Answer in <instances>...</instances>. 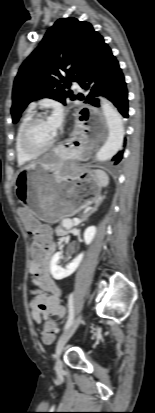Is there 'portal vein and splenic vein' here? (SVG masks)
<instances>
[{"instance_id": "portal-vein-and-splenic-vein-1", "label": "portal vein and splenic vein", "mask_w": 155, "mask_h": 413, "mask_svg": "<svg viewBox=\"0 0 155 413\" xmlns=\"http://www.w3.org/2000/svg\"><path fill=\"white\" fill-rule=\"evenodd\" d=\"M78 222H79V221H78ZM68 224H69V227H71V226H72V222H71V221H69V223H68Z\"/></svg>"}]
</instances>
